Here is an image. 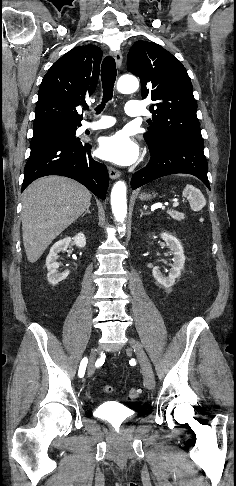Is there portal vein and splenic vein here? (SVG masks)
I'll use <instances>...</instances> for the list:
<instances>
[{"mask_svg":"<svg viewBox=\"0 0 236 486\" xmlns=\"http://www.w3.org/2000/svg\"><path fill=\"white\" fill-rule=\"evenodd\" d=\"M178 206H179V203L178 202H174L172 207L173 208H177Z\"/></svg>","mask_w":236,"mask_h":486,"instance_id":"portal-vein-and-splenic-vein-1","label":"portal vein and splenic vein"}]
</instances>
